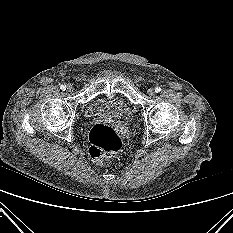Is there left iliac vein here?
<instances>
[{
  "label": "left iliac vein",
  "mask_w": 233,
  "mask_h": 233,
  "mask_svg": "<svg viewBox=\"0 0 233 233\" xmlns=\"http://www.w3.org/2000/svg\"><path fill=\"white\" fill-rule=\"evenodd\" d=\"M148 95H153L155 93V90L153 88H149L147 91Z\"/></svg>",
  "instance_id": "1"
}]
</instances>
